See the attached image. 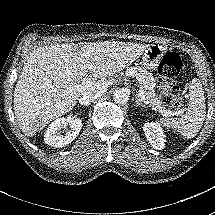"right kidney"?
<instances>
[{"instance_id": "right-kidney-1", "label": "right kidney", "mask_w": 215, "mask_h": 215, "mask_svg": "<svg viewBox=\"0 0 215 215\" xmlns=\"http://www.w3.org/2000/svg\"><path fill=\"white\" fill-rule=\"evenodd\" d=\"M67 126H69V129H67ZM82 126V120L79 118H57L45 131L44 141L52 147H64L79 135ZM63 129L64 131L62 132Z\"/></svg>"}]
</instances>
